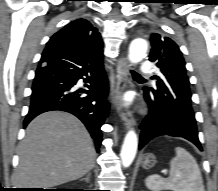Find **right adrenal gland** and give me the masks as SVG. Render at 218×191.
I'll return each mask as SVG.
<instances>
[{
  "instance_id": "1",
  "label": "right adrenal gland",
  "mask_w": 218,
  "mask_h": 191,
  "mask_svg": "<svg viewBox=\"0 0 218 191\" xmlns=\"http://www.w3.org/2000/svg\"><path fill=\"white\" fill-rule=\"evenodd\" d=\"M90 176H91V173L89 172L85 178H82L81 180H85L87 183L89 182V179H90Z\"/></svg>"
}]
</instances>
